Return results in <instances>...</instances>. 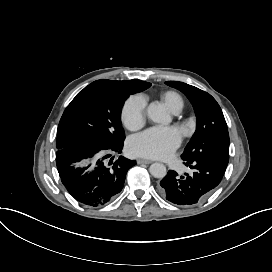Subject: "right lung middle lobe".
<instances>
[{"label":"right lung middle lobe","instance_id":"dd1d6c3e","mask_svg":"<svg viewBox=\"0 0 272 272\" xmlns=\"http://www.w3.org/2000/svg\"><path fill=\"white\" fill-rule=\"evenodd\" d=\"M151 83L129 80L125 84H89L65 109L57 131V149L88 142L112 148L125 140L121 108L129 94L143 91Z\"/></svg>","mask_w":272,"mask_h":272}]
</instances>
